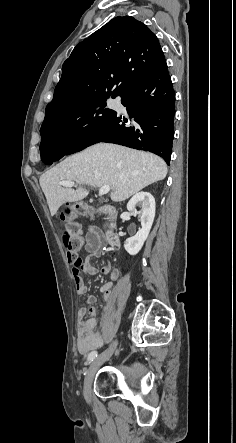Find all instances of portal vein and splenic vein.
<instances>
[{"instance_id": "18ae733b", "label": "portal vein and splenic vein", "mask_w": 236, "mask_h": 443, "mask_svg": "<svg viewBox=\"0 0 236 443\" xmlns=\"http://www.w3.org/2000/svg\"><path fill=\"white\" fill-rule=\"evenodd\" d=\"M60 185L64 186V187H67V188H71V187H73L75 185V183L72 182V181H61ZM110 189L111 188H110L109 185L101 187L100 190H99V195L107 194L110 191Z\"/></svg>"}]
</instances>
